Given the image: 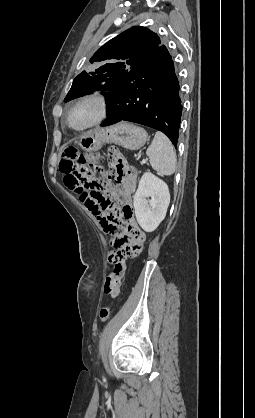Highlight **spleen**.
<instances>
[{
    "label": "spleen",
    "instance_id": "obj_1",
    "mask_svg": "<svg viewBox=\"0 0 255 418\" xmlns=\"http://www.w3.org/2000/svg\"><path fill=\"white\" fill-rule=\"evenodd\" d=\"M146 154L152 168L160 176H169L175 172L176 153L171 141L162 132H156Z\"/></svg>",
    "mask_w": 255,
    "mask_h": 418
}]
</instances>
